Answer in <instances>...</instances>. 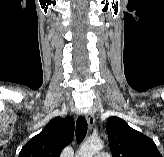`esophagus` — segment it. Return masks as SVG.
I'll return each mask as SVG.
<instances>
[{
  "label": "esophagus",
  "mask_w": 164,
  "mask_h": 157,
  "mask_svg": "<svg viewBox=\"0 0 164 157\" xmlns=\"http://www.w3.org/2000/svg\"><path fill=\"white\" fill-rule=\"evenodd\" d=\"M86 118H87V122H88L89 128L92 129L94 124H95L94 114L91 111H89L86 114Z\"/></svg>",
  "instance_id": "1"
}]
</instances>
